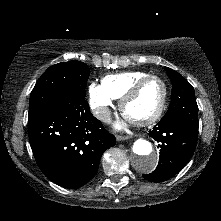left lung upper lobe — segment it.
I'll list each match as a JSON object with an SVG mask.
<instances>
[{"mask_svg": "<svg viewBox=\"0 0 221 221\" xmlns=\"http://www.w3.org/2000/svg\"><path fill=\"white\" fill-rule=\"evenodd\" d=\"M165 70L172 81V98L162 120L180 118L198 128V106L193 87L177 71L168 67Z\"/></svg>", "mask_w": 221, "mask_h": 221, "instance_id": "5c2ea615", "label": "left lung upper lobe"}]
</instances>
